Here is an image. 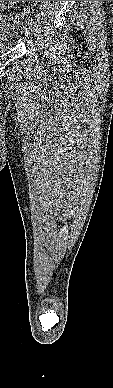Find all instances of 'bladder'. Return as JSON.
Segmentation results:
<instances>
[{"instance_id": "1", "label": "bladder", "mask_w": 113, "mask_h": 388, "mask_svg": "<svg viewBox=\"0 0 113 388\" xmlns=\"http://www.w3.org/2000/svg\"><path fill=\"white\" fill-rule=\"evenodd\" d=\"M9 28V25L6 21H0V55L7 51V46L4 44V39L6 37L5 31Z\"/></svg>"}]
</instances>
